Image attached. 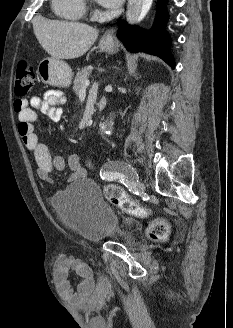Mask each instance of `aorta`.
Segmentation results:
<instances>
[{"label": "aorta", "mask_w": 233, "mask_h": 328, "mask_svg": "<svg viewBox=\"0 0 233 328\" xmlns=\"http://www.w3.org/2000/svg\"><path fill=\"white\" fill-rule=\"evenodd\" d=\"M153 0H128L127 11H126V19L128 23L133 24L137 20L143 19L146 14L148 13ZM114 122L107 121L103 123L102 129L107 130L105 131L106 134L111 133V129Z\"/></svg>", "instance_id": "762f6f07"}]
</instances>
